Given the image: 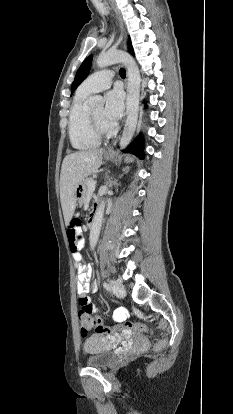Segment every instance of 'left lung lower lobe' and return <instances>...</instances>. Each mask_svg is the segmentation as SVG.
<instances>
[{
    "mask_svg": "<svg viewBox=\"0 0 233 414\" xmlns=\"http://www.w3.org/2000/svg\"><path fill=\"white\" fill-rule=\"evenodd\" d=\"M124 152L132 153L136 155L137 157L143 159L144 158V152H143V139L141 137H138L133 143H131Z\"/></svg>",
    "mask_w": 233,
    "mask_h": 414,
    "instance_id": "obj_1",
    "label": "left lung lower lobe"
}]
</instances>
